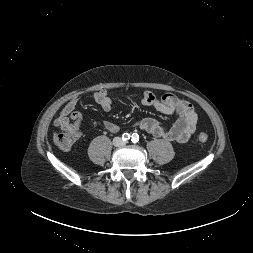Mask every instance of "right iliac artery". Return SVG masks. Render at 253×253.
Wrapping results in <instances>:
<instances>
[{
    "label": "right iliac artery",
    "mask_w": 253,
    "mask_h": 253,
    "mask_svg": "<svg viewBox=\"0 0 253 253\" xmlns=\"http://www.w3.org/2000/svg\"><path fill=\"white\" fill-rule=\"evenodd\" d=\"M129 139H130V134L124 133V134L122 135V140H123V141H127V140H129Z\"/></svg>",
    "instance_id": "1"
}]
</instances>
